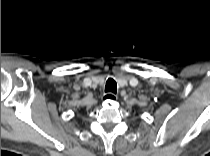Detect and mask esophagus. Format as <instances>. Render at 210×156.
Here are the masks:
<instances>
[{
	"label": "esophagus",
	"mask_w": 210,
	"mask_h": 156,
	"mask_svg": "<svg viewBox=\"0 0 210 156\" xmlns=\"http://www.w3.org/2000/svg\"><path fill=\"white\" fill-rule=\"evenodd\" d=\"M102 98L104 102H107V101L116 100L117 95L114 93H105Z\"/></svg>",
	"instance_id": "1"
}]
</instances>
